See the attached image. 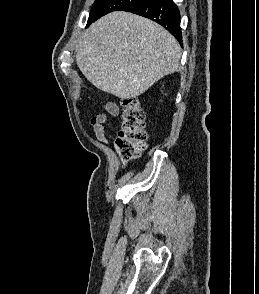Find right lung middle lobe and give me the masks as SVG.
Listing matches in <instances>:
<instances>
[{
    "mask_svg": "<svg viewBox=\"0 0 259 294\" xmlns=\"http://www.w3.org/2000/svg\"><path fill=\"white\" fill-rule=\"evenodd\" d=\"M135 1L137 0H96L92 5L88 25L110 12L122 10Z\"/></svg>",
    "mask_w": 259,
    "mask_h": 294,
    "instance_id": "dd1d6c3e",
    "label": "right lung middle lobe"
}]
</instances>
